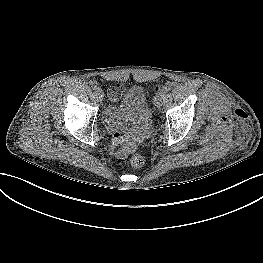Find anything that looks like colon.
Here are the masks:
<instances>
[{
    "mask_svg": "<svg viewBox=\"0 0 263 263\" xmlns=\"http://www.w3.org/2000/svg\"><path fill=\"white\" fill-rule=\"evenodd\" d=\"M109 93L112 97H114L117 94L115 89H110ZM116 136L117 138H122L121 135H116ZM129 161H130L131 166L133 167H140L144 163L143 157L138 153H134L130 155Z\"/></svg>",
    "mask_w": 263,
    "mask_h": 263,
    "instance_id": "1",
    "label": "colon"
}]
</instances>
